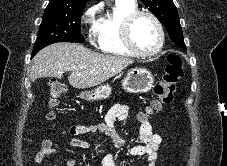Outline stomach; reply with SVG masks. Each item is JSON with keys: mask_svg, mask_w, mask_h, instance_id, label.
<instances>
[{"mask_svg": "<svg viewBox=\"0 0 227 166\" xmlns=\"http://www.w3.org/2000/svg\"><path fill=\"white\" fill-rule=\"evenodd\" d=\"M154 84L153 75L146 69H131L122 81V88L130 93H145L151 90ZM112 93L109 84L98 86L92 91H83L79 97L86 101H99L108 98Z\"/></svg>", "mask_w": 227, "mask_h": 166, "instance_id": "0dacf381", "label": "stomach"}]
</instances>
